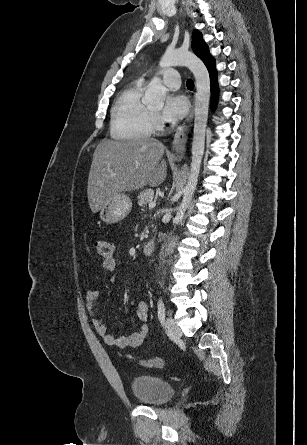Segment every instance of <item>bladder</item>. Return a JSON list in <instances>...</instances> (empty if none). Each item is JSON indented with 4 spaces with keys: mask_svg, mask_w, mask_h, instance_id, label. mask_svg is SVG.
<instances>
[{
    "mask_svg": "<svg viewBox=\"0 0 307 445\" xmlns=\"http://www.w3.org/2000/svg\"><path fill=\"white\" fill-rule=\"evenodd\" d=\"M131 390L142 405L158 407L167 403L174 395V387L168 381L153 375L134 378Z\"/></svg>",
    "mask_w": 307,
    "mask_h": 445,
    "instance_id": "31cf9c89",
    "label": "bladder"
}]
</instances>
